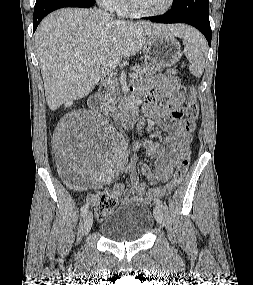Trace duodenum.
<instances>
[{"instance_id": "1", "label": "duodenum", "mask_w": 253, "mask_h": 285, "mask_svg": "<svg viewBox=\"0 0 253 285\" xmlns=\"http://www.w3.org/2000/svg\"><path fill=\"white\" fill-rule=\"evenodd\" d=\"M89 107L93 110H99L103 107V100L100 94H94L89 98ZM114 118L124 128H128L138 121V115L134 102L127 101L120 105L114 111Z\"/></svg>"}]
</instances>
